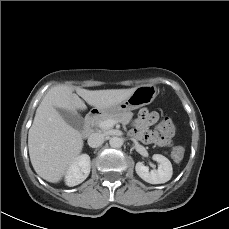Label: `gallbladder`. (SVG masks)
<instances>
[{"instance_id": "obj_1", "label": "gallbladder", "mask_w": 229, "mask_h": 229, "mask_svg": "<svg viewBox=\"0 0 229 229\" xmlns=\"http://www.w3.org/2000/svg\"><path fill=\"white\" fill-rule=\"evenodd\" d=\"M58 112L61 114L63 119L72 127L80 128L82 124V118L79 114L73 113L64 109H57Z\"/></svg>"}]
</instances>
